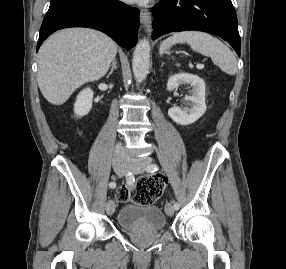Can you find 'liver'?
<instances>
[{"mask_svg":"<svg viewBox=\"0 0 286 269\" xmlns=\"http://www.w3.org/2000/svg\"><path fill=\"white\" fill-rule=\"evenodd\" d=\"M116 54V43L99 31L68 28L54 33L38 53L37 81L42 95L62 105L81 85L102 78Z\"/></svg>","mask_w":286,"mask_h":269,"instance_id":"liver-1","label":"liver"}]
</instances>
